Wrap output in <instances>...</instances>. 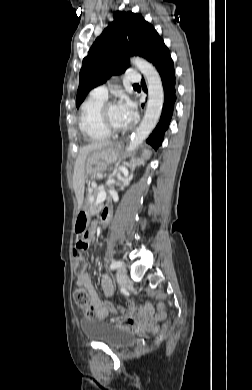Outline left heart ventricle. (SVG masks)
I'll list each match as a JSON object with an SVG mask.
<instances>
[{"instance_id":"b2bd125f","label":"left heart ventricle","mask_w":252,"mask_h":390,"mask_svg":"<svg viewBox=\"0 0 252 390\" xmlns=\"http://www.w3.org/2000/svg\"><path fill=\"white\" fill-rule=\"evenodd\" d=\"M107 118L109 123L115 127L116 129H122L125 128L128 124L124 121L120 110L118 108V105H110L107 108Z\"/></svg>"}]
</instances>
